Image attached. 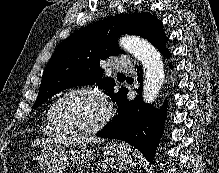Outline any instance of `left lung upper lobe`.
Here are the masks:
<instances>
[{"instance_id": "left-lung-upper-lobe-1", "label": "left lung upper lobe", "mask_w": 219, "mask_h": 173, "mask_svg": "<svg viewBox=\"0 0 219 173\" xmlns=\"http://www.w3.org/2000/svg\"><path fill=\"white\" fill-rule=\"evenodd\" d=\"M162 28L160 20L144 12L119 14L78 30L62 41L53 53L43 72L33 108L64 89L94 83L108 92L111 99L118 101L126 88L122 87L115 93V80L102 78L104 70L100 62L121 51L117 44L118 36L138 35L156 45L166 38Z\"/></svg>"}]
</instances>
